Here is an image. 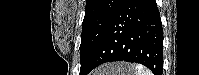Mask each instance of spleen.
I'll use <instances>...</instances> for the list:
<instances>
[{"label": "spleen", "mask_w": 199, "mask_h": 75, "mask_svg": "<svg viewBox=\"0 0 199 75\" xmlns=\"http://www.w3.org/2000/svg\"><path fill=\"white\" fill-rule=\"evenodd\" d=\"M135 70H136V75H153L152 72L146 68H144L143 66L137 64L134 66Z\"/></svg>", "instance_id": "spleen-1"}]
</instances>
